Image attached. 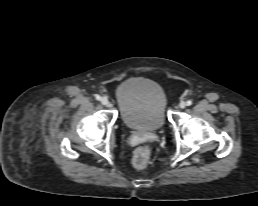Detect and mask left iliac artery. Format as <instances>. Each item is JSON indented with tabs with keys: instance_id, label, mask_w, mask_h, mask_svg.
<instances>
[{
	"instance_id": "1",
	"label": "left iliac artery",
	"mask_w": 258,
	"mask_h": 206,
	"mask_svg": "<svg viewBox=\"0 0 258 206\" xmlns=\"http://www.w3.org/2000/svg\"><path fill=\"white\" fill-rule=\"evenodd\" d=\"M187 105H188V106L192 105V101H191V100H188V101H187Z\"/></svg>"
}]
</instances>
